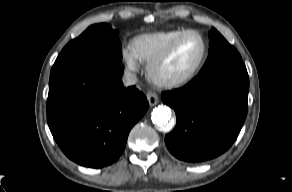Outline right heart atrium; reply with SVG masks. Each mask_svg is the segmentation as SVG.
<instances>
[{"label": "right heart atrium", "instance_id": "d8ad5b80", "mask_svg": "<svg viewBox=\"0 0 292 192\" xmlns=\"http://www.w3.org/2000/svg\"><path fill=\"white\" fill-rule=\"evenodd\" d=\"M122 59L128 70L130 71L137 70L139 60L137 59L131 47H125L122 49Z\"/></svg>", "mask_w": 292, "mask_h": 192}]
</instances>
